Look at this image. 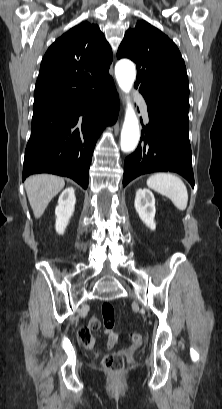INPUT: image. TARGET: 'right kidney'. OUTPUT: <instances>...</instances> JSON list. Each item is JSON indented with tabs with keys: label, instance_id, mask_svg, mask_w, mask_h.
I'll return each instance as SVG.
<instances>
[{
	"label": "right kidney",
	"instance_id": "obj_1",
	"mask_svg": "<svg viewBox=\"0 0 222 409\" xmlns=\"http://www.w3.org/2000/svg\"><path fill=\"white\" fill-rule=\"evenodd\" d=\"M76 203L75 191L73 187L66 188L58 199V205L55 209L56 223L55 229L58 234H63L69 220L74 212Z\"/></svg>",
	"mask_w": 222,
	"mask_h": 409
}]
</instances>
